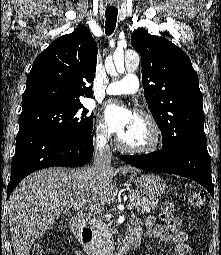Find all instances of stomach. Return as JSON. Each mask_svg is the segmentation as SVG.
<instances>
[{
    "label": "stomach",
    "instance_id": "1",
    "mask_svg": "<svg viewBox=\"0 0 221 255\" xmlns=\"http://www.w3.org/2000/svg\"><path fill=\"white\" fill-rule=\"evenodd\" d=\"M130 180L137 185L141 194L150 199H156L167 190L166 182L160 176L155 174H144L140 177L131 175Z\"/></svg>",
    "mask_w": 221,
    "mask_h": 255
}]
</instances>
